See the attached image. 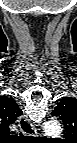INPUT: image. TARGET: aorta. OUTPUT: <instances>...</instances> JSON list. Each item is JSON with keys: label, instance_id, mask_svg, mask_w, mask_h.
Returning a JSON list of instances; mask_svg holds the SVG:
<instances>
[{"label": "aorta", "instance_id": "aorta-1", "mask_svg": "<svg viewBox=\"0 0 77 143\" xmlns=\"http://www.w3.org/2000/svg\"><path fill=\"white\" fill-rule=\"evenodd\" d=\"M44 131L48 135L59 134L62 131L60 123L56 121H48L44 124Z\"/></svg>", "mask_w": 77, "mask_h": 143}]
</instances>
